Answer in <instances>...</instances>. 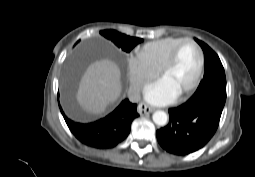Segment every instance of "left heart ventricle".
<instances>
[{
    "label": "left heart ventricle",
    "mask_w": 255,
    "mask_h": 177,
    "mask_svg": "<svg viewBox=\"0 0 255 177\" xmlns=\"http://www.w3.org/2000/svg\"><path fill=\"white\" fill-rule=\"evenodd\" d=\"M199 53L192 44H185L179 51L176 63L162 77L177 93L185 90L195 79L199 68Z\"/></svg>",
    "instance_id": "b2bd125f"
}]
</instances>
